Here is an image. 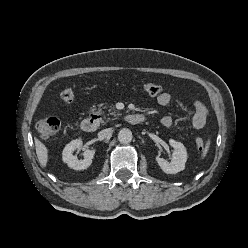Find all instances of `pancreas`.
I'll return each instance as SVG.
<instances>
[{"label":"pancreas","instance_id":"pancreas-1","mask_svg":"<svg viewBox=\"0 0 248 248\" xmlns=\"http://www.w3.org/2000/svg\"><path fill=\"white\" fill-rule=\"evenodd\" d=\"M109 111H110V110H109ZM110 114H112V115H120L119 112H112V113H110Z\"/></svg>","mask_w":248,"mask_h":248}]
</instances>
